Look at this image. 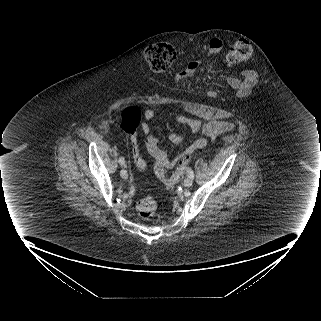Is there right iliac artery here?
Here are the masks:
<instances>
[{
  "label": "right iliac artery",
  "instance_id": "obj_1",
  "mask_svg": "<svg viewBox=\"0 0 321 321\" xmlns=\"http://www.w3.org/2000/svg\"><path fill=\"white\" fill-rule=\"evenodd\" d=\"M119 163H120L121 165H123V164L125 163V159H124L123 157H120V158H119Z\"/></svg>",
  "mask_w": 321,
  "mask_h": 321
}]
</instances>
